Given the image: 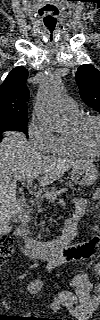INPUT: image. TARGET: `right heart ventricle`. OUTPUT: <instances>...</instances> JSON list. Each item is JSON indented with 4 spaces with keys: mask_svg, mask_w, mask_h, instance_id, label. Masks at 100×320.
Instances as JSON below:
<instances>
[{
    "mask_svg": "<svg viewBox=\"0 0 100 320\" xmlns=\"http://www.w3.org/2000/svg\"><path fill=\"white\" fill-rule=\"evenodd\" d=\"M66 116L69 119L70 123L73 125L80 118L81 114L80 112H78L75 114H66ZM50 153L58 156L68 157L88 156V153L83 151L71 141L68 133L56 135L54 146Z\"/></svg>",
    "mask_w": 100,
    "mask_h": 320,
    "instance_id": "obj_1",
    "label": "right heart ventricle"
}]
</instances>
